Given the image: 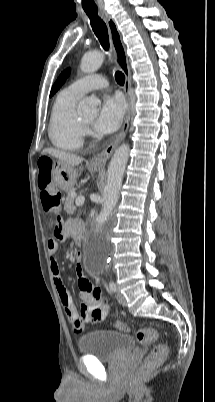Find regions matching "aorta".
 Returning a JSON list of instances; mask_svg holds the SVG:
<instances>
[{
  "label": "aorta",
  "instance_id": "obj_1",
  "mask_svg": "<svg viewBox=\"0 0 215 402\" xmlns=\"http://www.w3.org/2000/svg\"><path fill=\"white\" fill-rule=\"evenodd\" d=\"M103 61L104 55L101 52H88L82 57L80 68L84 73H94L101 67ZM100 103V100L96 97H86L79 105V113L85 116H93L98 111ZM129 150V145L123 143L115 150L109 163L105 185L106 200L98 219L99 233L101 232V224L112 214L118 202L124 171L129 158ZM108 258L107 249L100 246L95 257H89L85 264L89 269H97L100 264L108 262Z\"/></svg>",
  "mask_w": 215,
  "mask_h": 402
}]
</instances>
